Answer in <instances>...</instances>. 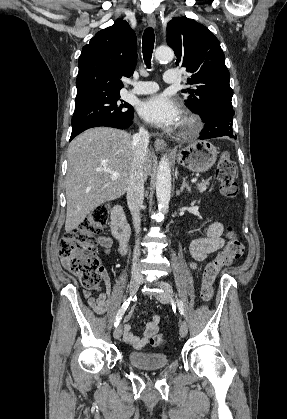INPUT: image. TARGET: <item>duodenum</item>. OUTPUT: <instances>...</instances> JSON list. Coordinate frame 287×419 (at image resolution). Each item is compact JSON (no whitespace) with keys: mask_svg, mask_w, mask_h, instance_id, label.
I'll list each match as a JSON object with an SVG mask.
<instances>
[{"mask_svg":"<svg viewBox=\"0 0 287 419\" xmlns=\"http://www.w3.org/2000/svg\"><path fill=\"white\" fill-rule=\"evenodd\" d=\"M111 232L113 237L119 241L121 250L124 251L130 236V226L120 205H116L112 210Z\"/></svg>","mask_w":287,"mask_h":419,"instance_id":"obj_1","label":"duodenum"}]
</instances>
